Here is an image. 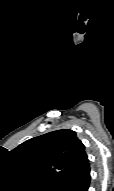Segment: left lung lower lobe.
Returning a JSON list of instances; mask_svg holds the SVG:
<instances>
[{
  "label": "left lung lower lobe",
  "mask_w": 114,
  "mask_h": 191,
  "mask_svg": "<svg viewBox=\"0 0 114 191\" xmlns=\"http://www.w3.org/2000/svg\"><path fill=\"white\" fill-rule=\"evenodd\" d=\"M90 179V167L88 162L63 191H88Z\"/></svg>",
  "instance_id": "left-lung-lower-lobe-1"
}]
</instances>
